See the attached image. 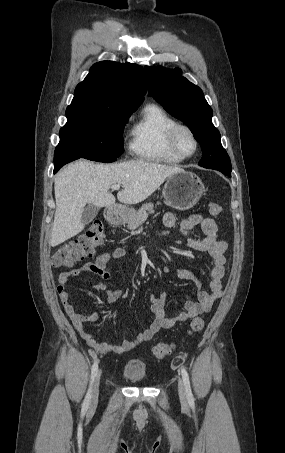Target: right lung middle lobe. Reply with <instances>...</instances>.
<instances>
[{
	"mask_svg": "<svg viewBox=\"0 0 285 453\" xmlns=\"http://www.w3.org/2000/svg\"><path fill=\"white\" fill-rule=\"evenodd\" d=\"M134 111L97 106L70 105L67 123L60 130L56 149L69 151L76 159L116 161L123 151V128Z\"/></svg>",
	"mask_w": 285,
	"mask_h": 453,
	"instance_id": "obj_1",
	"label": "right lung middle lobe"
}]
</instances>
